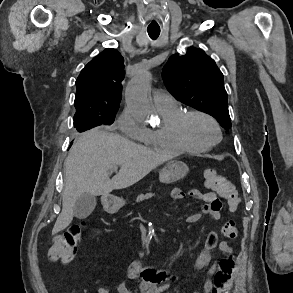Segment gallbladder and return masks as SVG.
Wrapping results in <instances>:
<instances>
[{"label": "gallbladder", "mask_w": 293, "mask_h": 293, "mask_svg": "<svg viewBox=\"0 0 293 293\" xmlns=\"http://www.w3.org/2000/svg\"><path fill=\"white\" fill-rule=\"evenodd\" d=\"M96 197L90 194L80 196L74 205V216L78 219L87 218L95 209Z\"/></svg>", "instance_id": "1"}]
</instances>
